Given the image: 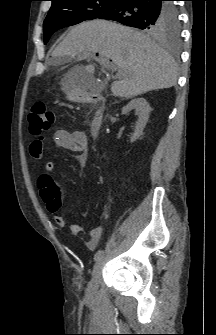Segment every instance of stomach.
<instances>
[{"label": "stomach", "mask_w": 216, "mask_h": 335, "mask_svg": "<svg viewBox=\"0 0 216 335\" xmlns=\"http://www.w3.org/2000/svg\"><path fill=\"white\" fill-rule=\"evenodd\" d=\"M63 87L66 86V81H62ZM67 98L70 101H80L84 97V92L77 88H69L66 91Z\"/></svg>", "instance_id": "stomach-1"}]
</instances>
